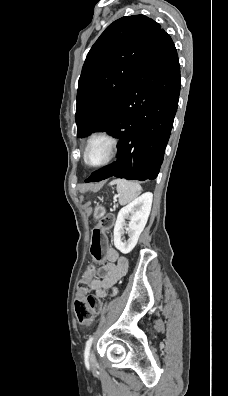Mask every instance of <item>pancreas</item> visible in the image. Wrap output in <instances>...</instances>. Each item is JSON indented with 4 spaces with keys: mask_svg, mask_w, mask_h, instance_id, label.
Masks as SVG:
<instances>
[{
    "mask_svg": "<svg viewBox=\"0 0 228 396\" xmlns=\"http://www.w3.org/2000/svg\"><path fill=\"white\" fill-rule=\"evenodd\" d=\"M117 208V205H114V210Z\"/></svg>",
    "mask_w": 228,
    "mask_h": 396,
    "instance_id": "1",
    "label": "pancreas"
}]
</instances>
